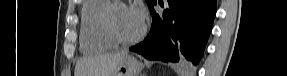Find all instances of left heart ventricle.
<instances>
[{
  "label": "left heart ventricle",
  "instance_id": "obj_1",
  "mask_svg": "<svg viewBox=\"0 0 287 76\" xmlns=\"http://www.w3.org/2000/svg\"><path fill=\"white\" fill-rule=\"evenodd\" d=\"M113 23L117 31L125 37L138 34L143 26L130 7H118L114 12Z\"/></svg>",
  "mask_w": 287,
  "mask_h": 76
}]
</instances>
